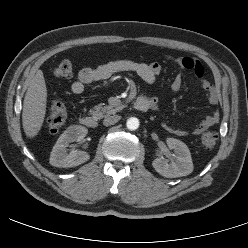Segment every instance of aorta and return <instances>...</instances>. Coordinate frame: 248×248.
<instances>
[{
  "mask_svg": "<svg viewBox=\"0 0 248 248\" xmlns=\"http://www.w3.org/2000/svg\"><path fill=\"white\" fill-rule=\"evenodd\" d=\"M126 126L129 130H136L139 128V119L136 117H131L127 120Z\"/></svg>",
  "mask_w": 248,
  "mask_h": 248,
  "instance_id": "762f6f07",
  "label": "aorta"
}]
</instances>
